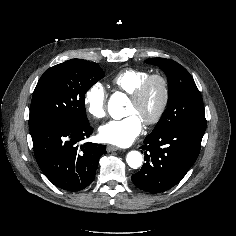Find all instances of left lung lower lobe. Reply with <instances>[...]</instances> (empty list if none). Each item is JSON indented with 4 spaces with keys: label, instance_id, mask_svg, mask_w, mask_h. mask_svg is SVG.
<instances>
[{
    "label": "left lung lower lobe",
    "instance_id": "left-lung-lower-lobe-1",
    "mask_svg": "<svg viewBox=\"0 0 236 236\" xmlns=\"http://www.w3.org/2000/svg\"><path fill=\"white\" fill-rule=\"evenodd\" d=\"M204 131L176 127L149 134L141 147L146 162L132 175L133 183L153 194L175 186L196 161Z\"/></svg>",
    "mask_w": 236,
    "mask_h": 236
}]
</instances>
